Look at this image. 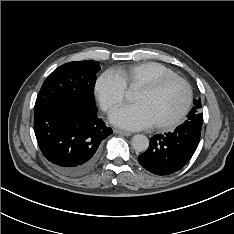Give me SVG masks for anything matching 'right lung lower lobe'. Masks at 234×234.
Masks as SVG:
<instances>
[{
    "mask_svg": "<svg viewBox=\"0 0 234 234\" xmlns=\"http://www.w3.org/2000/svg\"><path fill=\"white\" fill-rule=\"evenodd\" d=\"M34 131L44 157L67 175L90 170L101 141L112 129L97 117V108L56 101L34 110Z\"/></svg>",
    "mask_w": 234,
    "mask_h": 234,
    "instance_id": "right-lung-lower-lobe-1",
    "label": "right lung lower lobe"
}]
</instances>
